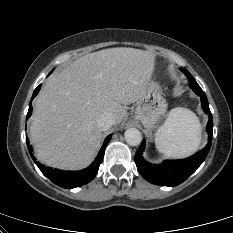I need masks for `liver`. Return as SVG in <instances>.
Returning <instances> with one entry per match:
<instances>
[{
  "instance_id": "6515ba94",
  "label": "liver",
  "mask_w": 233,
  "mask_h": 233,
  "mask_svg": "<svg viewBox=\"0 0 233 233\" xmlns=\"http://www.w3.org/2000/svg\"><path fill=\"white\" fill-rule=\"evenodd\" d=\"M154 67V53L119 47L87 54L52 74L33 108L30 142L37 159L59 169L90 165L102 140L98 119L109 112L121 123L125 106L145 94Z\"/></svg>"
}]
</instances>
